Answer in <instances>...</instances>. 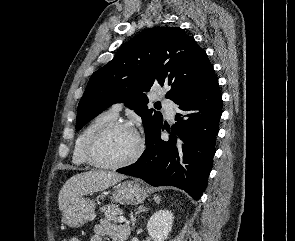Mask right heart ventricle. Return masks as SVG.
I'll return each mask as SVG.
<instances>
[{"label":"right heart ventricle","instance_id":"right-heart-ventricle-1","mask_svg":"<svg viewBox=\"0 0 295 241\" xmlns=\"http://www.w3.org/2000/svg\"><path fill=\"white\" fill-rule=\"evenodd\" d=\"M117 119L112 111H104L91 119L77 136L72 153V161L77 166H89L86 157V146L95 131L105 123Z\"/></svg>","mask_w":295,"mask_h":241}]
</instances>
